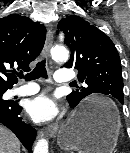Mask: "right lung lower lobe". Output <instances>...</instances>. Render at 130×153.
<instances>
[{"mask_svg":"<svg viewBox=\"0 0 130 153\" xmlns=\"http://www.w3.org/2000/svg\"><path fill=\"white\" fill-rule=\"evenodd\" d=\"M6 90H1L0 98V123L8 127L22 142V144L31 151L32 144L36 137V130L25 123L21 117L20 107L16 102L3 100L2 95Z\"/></svg>","mask_w":130,"mask_h":153,"instance_id":"right-lung-lower-lobe-1","label":"right lung lower lobe"}]
</instances>
